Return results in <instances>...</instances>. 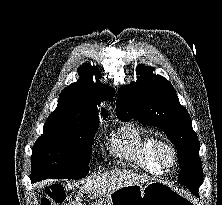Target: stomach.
<instances>
[{
	"label": "stomach",
	"instance_id": "obj_1",
	"mask_svg": "<svg viewBox=\"0 0 222 205\" xmlns=\"http://www.w3.org/2000/svg\"><path fill=\"white\" fill-rule=\"evenodd\" d=\"M95 205H196V202L162 181L128 185L103 194Z\"/></svg>",
	"mask_w": 222,
	"mask_h": 205
}]
</instances>
